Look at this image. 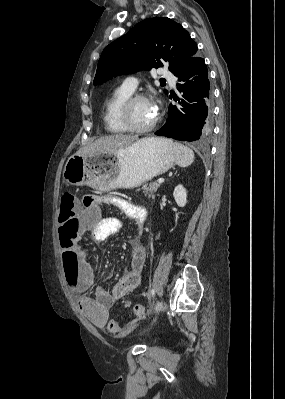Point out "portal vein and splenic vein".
<instances>
[{"label": "portal vein and splenic vein", "instance_id": "18ae733b", "mask_svg": "<svg viewBox=\"0 0 285 399\" xmlns=\"http://www.w3.org/2000/svg\"><path fill=\"white\" fill-rule=\"evenodd\" d=\"M157 182H158L159 184H161V183L164 182V179L160 178V179L157 180Z\"/></svg>", "mask_w": 285, "mask_h": 399}]
</instances>
